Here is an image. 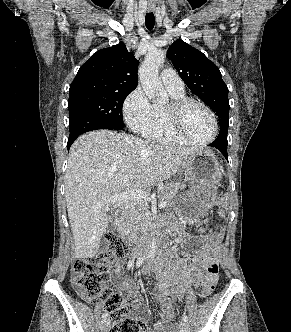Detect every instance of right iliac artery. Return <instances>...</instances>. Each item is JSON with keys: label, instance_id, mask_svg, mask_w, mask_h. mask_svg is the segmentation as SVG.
Listing matches in <instances>:
<instances>
[{"label": "right iliac artery", "instance_id": "1", "mask_svg": "<svg viewBox=\"0 0 291 332\" xmlns=\"http://www.w3.org/2000/svg\"><path fill=\"white\" fill-rule=\"evenodd\" d=\"M143 261H144V258H143V257H139V258L137 259L136 266H137V267L141 266L142 263H143ZM107 316H108V313H104V314L102 315V318L105 319V318H107Z\"/></svg>", "mask_w": 291, "mask_h": 332}]
</instances>
